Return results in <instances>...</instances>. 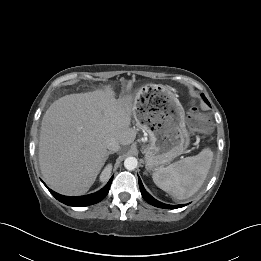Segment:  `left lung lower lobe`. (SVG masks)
<instances>
[{"label":"left lung lower lobe","mask_w":261,"mask_h":261,"mask_svg":"<svg viewBox=\"0 0 261 261\" xmlns=\"http://www.w3.org/2000/svg\"><path fill=\"white\" fill-rule=\"evenodd\" d=\"M139 187H140V191L141 194L143 196V198L151 205L159 207V208H166V209H176V208H180L183 207V205H168V204H164L162 202L157 201L156 199H154L144 188L140 178H139Z\"/></svg>","instance_id":"obj_1"}]
</instances>
